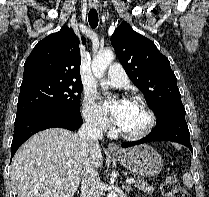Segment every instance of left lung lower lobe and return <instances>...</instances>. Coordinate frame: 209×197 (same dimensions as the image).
Masks as SVG:
<instances>
[{
	"label": "left lung lower lobe",
	"mask_w": 209,
	"mask_h": 197,
	"mask_svg": "<svg viewBox=\"0 0 209 197\" xmlns=\"http://www.w3.org/2000/svg\"><path fill=\"white\" fill-rule=\"evenodd\" d=\"M185 114V110H175L161 114L157 117L155 128L148 136L138 141L125 142L122 144V147L126 148L151 141L165 140L183 144L193 152Z\"/></svg>",
	"instance_id": "obj_1"
}]
</instances>
